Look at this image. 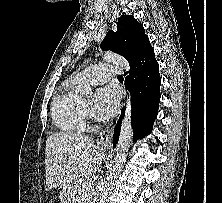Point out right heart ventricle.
<instances>
[{
  "instance_id": "1",
  "label": "right heart ventricle",
  "mask_w": 222,
  "mask_h": 203,
  "mask_svg": "<svg viewBox=\"0 0 222 203\" xmlns=\"http://www.w3.org/2000/svg\"><path fill=\"white\" fill-rule=\"evenodd\" d=\"M78 80L71 79L61 88L52 104L54 124L64 133L77 134L86 128V104L78 94Z\"/></svg>"
}]
</instances>
